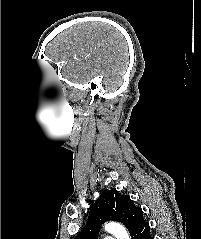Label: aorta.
<instances>
[{"label":"aorta","instance_id":"aorta-1","mask_svg":"<svg viewBox=\"0 0 201 239\" xmlns=\"http://www.w3.org/2000/svg\"><path fill=\"white\" fill-rule=\"evenodd\" d=\"M104 228L108 233L113 234L116 239H130L126 229L119 223L109 222L105 224Z\"/></svg>","mask_w":201,"mask_h":239}]
</instances>
